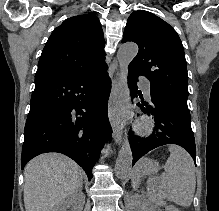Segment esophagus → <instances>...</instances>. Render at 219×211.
<instances>
[{"label": "esophagus", "instance_id": "1", "mask_svg": "<svg viewBox=\"0 0 219 211\" xmlns=\"http://www.w3.org/2000/svg\"><path fill=\"white\" fill-rule=\"evenodd\" d=\"M120 90H121V75L118 73L112 84L111 96L108 108V117L112 126L113 135L116 144L120 145L123 134V125L121 124L119 116V105H120Z\"/></svg>", "mask_w": 219, "mask_h": 211}]
</instances>
